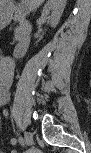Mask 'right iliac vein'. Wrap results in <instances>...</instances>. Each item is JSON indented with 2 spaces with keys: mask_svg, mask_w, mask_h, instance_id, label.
<instances>
[{
  "mask_svg": "<svg viewBox=\"0 0 91 153\" xmlns=\"http://www.w3.org/2000/svg\"><path fill=\"white\" fill-rule=\"evenodd\" d=\"M25 140L27 145H32L33 143V137L30 132H25Z\"/></svg>",
  "mask_w": 91,
  "mask_h": 153,
  "instance_id": "right-iliac-vein-1",
  "label": "right iliac vein"
}]
</instances>
